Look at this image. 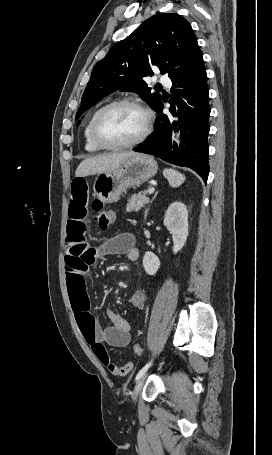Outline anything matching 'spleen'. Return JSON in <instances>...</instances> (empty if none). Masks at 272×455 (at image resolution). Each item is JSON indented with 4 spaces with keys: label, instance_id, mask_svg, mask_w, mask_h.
I'll use <instances>...</instances> for the list:
<instances>
[{
    "label": "spleen",
    "instance_id": "3e777b00",
    "mask_svg": "<svg viewBox=\"0 0 272 455\" xmlns=\"http://www.w3.org/2000/svg\"><path fill=\"white\" fill-rule=\"evenodd\" d=\"M163 173L173 188L179 187L185 181V176L176 170L164 169Z\"/></svg>",
    "mask_w": 272,
    "mask_h": 455
}]
</instances>
